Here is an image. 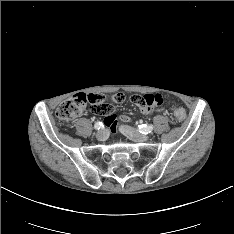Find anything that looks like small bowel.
Returning <instances> with one entry per match:
<instances>
[{
  "label": "small bowel",
  "instance_id": "c3829d8e",
  "mask_svg": "<svg viewBox=\"0 0 234 234\" xmlns=\"http://www.w3.org/2000/svg\"><path fill=\"white\" fill-rule=\"evenodd\" d=\"M115 103H131L135 108H139L143 113H150L155 108H160L165 103V98L160 93H135L130 96H125L122 92H117L112 97ZM88 110L93 115H99L102 117V123L105 127L115 130L117 118L116 107L109 103V97L106 94L91 93L86 98ZM161 111L162 109H157ZM121 122H128L129 117L127 115H121L119 117Z\"/></svg>",
  "mask_w": 234,
  "mask_h": 234
}]
</instances>
